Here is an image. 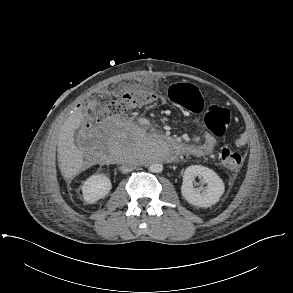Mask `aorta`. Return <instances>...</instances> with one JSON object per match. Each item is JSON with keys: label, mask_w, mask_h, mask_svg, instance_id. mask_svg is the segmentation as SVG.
Wrapping results in <instances>:
<instances>
[{"label": "aorta", "mask_w": 293, "mask_h": 293, "mask_svg": "<svg viewBox=\"0 0 293 293\" xmlns=\"http://www.w3.org/2000/svg\"><path fill=\"white\" fill-rule=\"evenodd\" d=\"M152 146L159 156H165L168 151V145L164 140L154 139ZM149 170L153 173H160L163 170V166L159 162H153L149 166Z\"/></svg>", "instance_id": "aorta-1"}]
</instances>
